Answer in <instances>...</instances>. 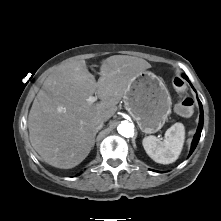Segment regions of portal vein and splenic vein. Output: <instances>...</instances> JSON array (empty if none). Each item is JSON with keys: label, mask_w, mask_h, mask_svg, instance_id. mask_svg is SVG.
Here are the masks:
<instances>
[{"label": "portal vein and splenic vein", "mask_w": 221, "mask_h": 221, "mask_svg": "<svg viewBox=\"0 0 221 221\" xmlns=\"http://www.w3.org/2000/svg\"><path fill=\"white\" fill-rule=\"evenodd\" d=\"M88 103L92 104L94 102L97 101V97L96 96H90L88 99H87Z\"/></svg>", "instance_id": "portal-vein-and-splenic-vein-1"}]
</instances>
